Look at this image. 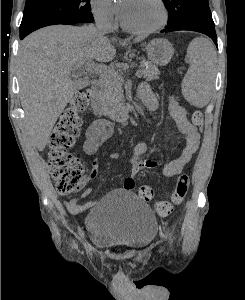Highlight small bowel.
Segmentation results:
<instances>
[{
    "label": "small bowel",
    "instance_id": "small-bowel-1",
    "mask_svg": "<svg viewBox=\"0 0 245 300\" xmlns=\"http://www.w3.org/2000/svg\"><path fill=\"white\" fill-rule=\"evenodd\" d=\"M138 93L143 97V101L149 110H155L158 106V100L147 85H141ZM169 111L170 115L175 121L178 130L185 137V147L180 156L167 161L161 167V174L166 178H171L179 175L185 165L192 159L197 152L200 145V132L198 128L187 118L186 110L179 105L175 97H169ZM113 134V126L106 119H97L93 121L87 128L85 133V141L83 150L87 155H94L101 144L109 139ZM148 150V145L145 142H139L133 148L132 156L129 158L131 165L130 174L124 179L123 188L125 190H132L135 184L136 176L148 169H153L161 165L159 161L147 160L143 156ZM109 157L112 159H120V153H110ZM98 174V162L94 161L93 167L87 176V181L93 180ZM89 194V191L86 192ZM92 206V202L80 204L73 199L66 202L68 211L72 214H79Z\"/></svg>",
    "mask_w": 245,
    "mask_h": 300
}]
</instances>
